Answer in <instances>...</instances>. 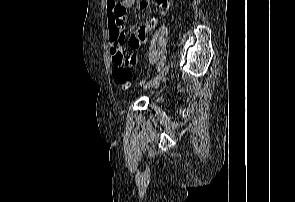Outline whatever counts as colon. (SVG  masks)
I'll return each instance as SVG.
<instances>
[{
	"label": "colon",
	"mask_w": 295,
	"mask_h": 202,
	"mask_svg": "<svg viewBox=\"0 0 295 202\" xmlns=\"http://www.w3.org/2000/svg\"><path fill=\"white\" fill-rule=\"evenodd\" d=\"M133 61V57H125L122 53L115 54L113 79L118 86L127 88L131 85L133 76L129 66Z\"/></svg>",
	"instance_id": "obj_1"
}]
</instances>
